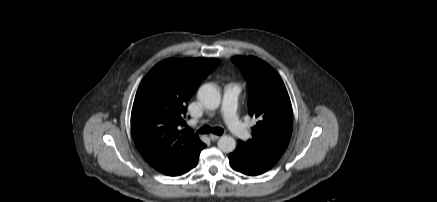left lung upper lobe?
<instances>
[{"label": "left lung upper lobe", "instance_id": "obj_1", "mask_svg": "<svg viewBox=\"0 0 437 202\" xmlns=\"http://www.w3.org/2000/svg\"><path fill=\"white\" fill-rule=\"evenodd\" d=\"M232 61L244 74L249 88V115L258 119L253 138L238 141L252 155L274 166L285 152L292 134L290 98L279 74L263 60L236 56Z\"/></svg>", "mask_w": 437, "mask_h": 202}]
</instances>
